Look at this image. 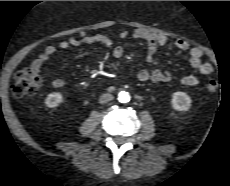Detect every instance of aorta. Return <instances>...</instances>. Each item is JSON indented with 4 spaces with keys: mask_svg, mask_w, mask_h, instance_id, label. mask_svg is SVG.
Masks as SVG:
<instances>
[{
    "mask_svg": "<svg viewBox=\"0 0 230 186\" xmlns=\"http://www.w3.org/2000/svg\"><path fill=\"white\" fill-rule=\"evenodd\" d=\"M118 101L121 103H127L130 101V94L126 91H120L118 93Z\"/></svg>",
    "mask_w": 230,
    "mask_h": 186,
    "instance_id": "aorta-1",
    "label": "aorta"
}]
</instances>
